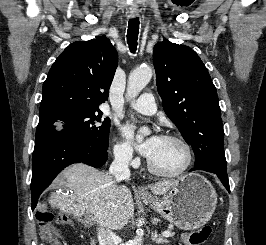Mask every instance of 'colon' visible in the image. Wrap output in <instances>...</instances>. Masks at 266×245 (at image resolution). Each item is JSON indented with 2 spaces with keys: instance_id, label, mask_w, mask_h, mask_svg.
I'll return each mask as SVG.
<instances>
[{
  "instance_id": "obj_1",
  "label": "colon",
  "mask_w": 266,
  "mask_h": 245,
  "mask_svg": "<svg viewBox=\"0 0 266 245\" xmlns=\"http://www.w3.org/2000/svg\"><path fill=\"white\" fill-rule=\"evenodd\" d=\"M54 213L50 209H40L36 213L38 229L43 245H61L59 234L53 224ZM211 227L205 225L197 230L185 233L184 239L188 245H203L211 234Z\"/></svg>"
}]
</instances>
